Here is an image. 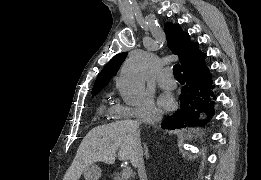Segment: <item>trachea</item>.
<instances>
[{
  "instance_id": "1",
  "label": "trachea",
  "mask_w": 261,
  "mask_h": 180,
  "mask_svg": "<svg viewBox=\"0 0 261 180\" xmlns=\"http://www.w3.org/2000/svg\"><path fill=\"white\" fill-rule=\"evenodd\" d=\"M173 74H174V77L176 79H183V75L181 74V70H180V64L179 63H176V65H174L173 67Z\"/></svg>"
}]
</instances>
